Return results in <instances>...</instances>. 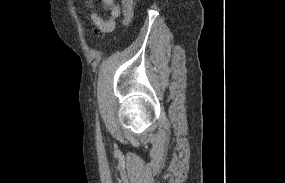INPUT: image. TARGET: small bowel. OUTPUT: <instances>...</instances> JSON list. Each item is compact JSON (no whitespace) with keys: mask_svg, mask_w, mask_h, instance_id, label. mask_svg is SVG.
Listing matches in <instances>:
<instances>
[{"mask_svg":"<svg viewBox=\"0 0 285 183\" xmlns=\"http://www.w3.org/2000/svg\"><path fill=\"white\" fill-rule=\"evenodd\" d=\"M97 0H85L86 6L93 8ZM104 8L109 10V18H104L96 9L90 13V20L97 32L108 33L115 29L116 22L121 15L120 7L115 0H101Z\"/></svg>","mask_w":285,"mask_h":183,"instance_id":"c3829d8e","label":"small bowel"}]
</instances>
